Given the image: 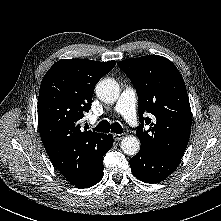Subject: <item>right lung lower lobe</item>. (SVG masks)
<instances>
[{
  "label": "right lung lower lobe",
  "instance_id": "1",
  "mask_svg": "<svg viewBox=\"0 0 221 221\" xmlns=\"http://www.w3.org/2000/svg\"><path fill=\"white\" fill-rule=\"evenodd\" d=\"M112 145H113V136L109 134L107 135L105 149L101 157V160L99 161V164L95 167V169L86 179H84L79 184L75 185L76 187L88 188L97 184L102 179L104 175L103 173L104 166H103L102 159H103V156L111 149Z\"/></svg>",
  "mask_w": 221,
  "mask_h": 221
}]
</instances>
